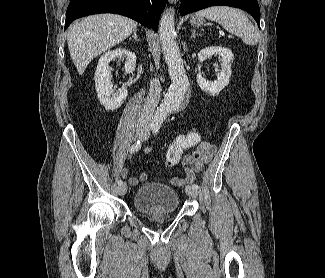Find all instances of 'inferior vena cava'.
Returning a JSON list of instances; mask_svg holds the SVG:
<instances>
[{
	"mask_svg": "<svg viewBox=\"0 0 325 278\" xmlns=\"http://www.w3.org/2000/svg\"><path fill=\"white\" fill-rule=\"evenodd\" d=\"M160 95H161V85L159 80L158 79L151 80L149 93L147 99L145 100L144 106L142 108L139 117L140 124L143 123L148 124L153 119L155 109L159 103Z\"/></svg>",
	"mask_w": 325,
	"mask_h": 278,
	"instance_id": "obj_1",
	"label": "inferior vena cava"
}]
</instances>
